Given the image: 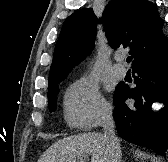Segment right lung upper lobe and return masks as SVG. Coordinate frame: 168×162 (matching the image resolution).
Instances as JSON below:
<instances>
[{"label":"right lung upper lobe","instance_id":"right-lung-upper-lobe-1","mask_svg":"<svg viewBox=\"0 0 168 162\" xmlns=\"http://www.w3.org/2000/svg\"><path fill=\"white\" fill-rule=\"evenodd\" d=\"M101 21L109 45L129 48L133 65L168 46L162 35V20L156 4L147 0H112ZM98 20L91 8L71 14L64 22L56 43L49 73V85L64 80L72 68L91 52ZM48 85V86H49Z\"/></svg>","mask_w":168,"mask_h":162}]
</instances>
